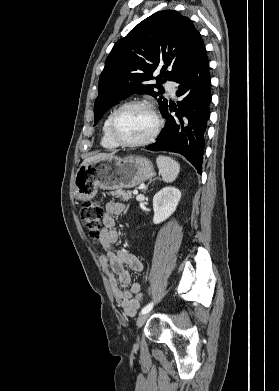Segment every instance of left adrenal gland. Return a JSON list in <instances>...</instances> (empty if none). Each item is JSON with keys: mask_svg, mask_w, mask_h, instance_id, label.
I'll return each instance as SVG.
<instances>
[{"mask_svg": "<svg viewBox=\"0 0 279 391\" xmlns=\"http://www.w3.org/2000/svg\"><path fill=\"white\" fill-rule=\"evenodd\" d=\"M155 180H156V178H154L153 180H151V181L148 183V185L145 187L144 191H146L147 188H148V186H149V184H150L151 182L155 181Z\"/></svg>", "mask_w": 279, "mask_h": 391, "instance_id": "obj_1", "label": "left adrenal gland"}]
</instances>
